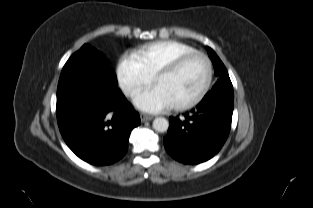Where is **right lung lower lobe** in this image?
Masks as SVG:
<instances>
[{
  "label": "right lung lower lobe",
  "mask_w": 313,
  "mask_h": 208,
  "mask_svg": "<svg viewBox=\"0 0 313 208\" xmlns=\"http://www.w3.org/2000/svg\"><path fill=\"white\" fill-rule=\"evenodd\" d=\"M114 71L100 57L80 52L63 67L57 89V120L68 147L93 165L121 159L133 128L140 125L117 88Z\"/></svg>",
  "instance_id": "obj_1"
}]
</instances>
